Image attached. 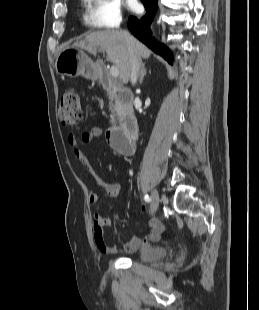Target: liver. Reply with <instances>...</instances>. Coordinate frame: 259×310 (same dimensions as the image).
I'll use <instances>...</instances> for the list:
<instances>
[{"mask_svg": "<svg viewBox=\"0 0 259 310\" xmlns=\"http://www.w3.org/2000/svg\"><path fill=\"white\" fill-rule=\"evenodd\" d=\"M74 47L96 53L100 48L107 53V59L119 70L120 79L127 83L130 79V52L122 31L105 30L90 33ZM133 50L140 59L149 58L151 51L141 42L133 38Z\"/></svg>", "mask_w": 259, "mask_h": 310, "instance_id": "1", "label": "liver"}]
</instances>
